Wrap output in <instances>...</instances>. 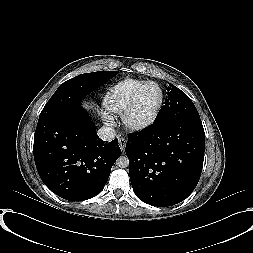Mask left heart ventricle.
<instances>
[{
    "label": "left heart ventricle",
    "mask_w": 253,
    "mask_h": 253,
    "mask_svg": "<svg viewBox=\"0 0 253 253\" xmlns=\"http://www.w3.org/2000/svg\"><path fill=\"white\" fill-rule=\"evenodd\" d=\"M160 101V91L155 85H148L142 91L132 115L135 122H144L152 115Z\"/></svg>",
    "instance_id": "b2bd125f"
}]
</instances>
